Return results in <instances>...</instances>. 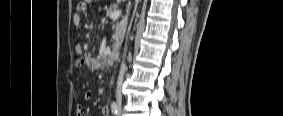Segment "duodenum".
Returning a JSON list of instances; mask_svg holds the SVG:
<instances>
[{"instance_id": "obj_1", "label": "duodenum", "mask_w": 283, "mask_h": 116, "mask_svg": "<svg viewBox=\"0 0 283 116\" xmlns=\"http://www.w3.org/2000/svg\"><path fill=\"white\" fill-rule=\"evenodd\" d=\"M120 58V51L118 49H113L110 53V59L113 62H118Z\"/></svg>"}]
</instances>
